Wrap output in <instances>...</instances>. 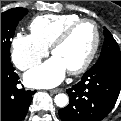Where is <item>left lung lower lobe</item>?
I'll list each match as a JSON object with an SVG mask.
<instances>
[{
    "mask_svg": "<svg viewBox=\"0 0 121 121\" xmlns=\"http://www.w3.org/2000/svg\"><path fill=\"white\" fill-rule=\"evenodd\" d=\"M120 89L121 63L94 66L67 89L70 103L59 110V117L62 121H101L113 109Z\"/></svg>",
    "mask_w": 121,
    "mask_h": 121,
    "instance_id": "1",
    "label": "left lung lower lobe"
}]
</instances>
